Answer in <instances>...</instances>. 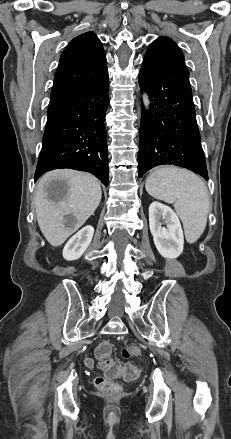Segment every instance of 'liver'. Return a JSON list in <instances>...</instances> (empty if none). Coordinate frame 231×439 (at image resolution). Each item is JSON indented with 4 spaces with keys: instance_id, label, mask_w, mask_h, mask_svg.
Returning a JSON list of instances; mask_svg holds the SVG:
<instances>
[{
    "instance_id": "liver-1",
    "label": "liver",
    "mask_w": 231,
    "mask_h": 439,
    "mask_svg": "<svg viewBox=\"0 0 231 439\" xmlns=\"http://www.w3.org/2000/svg\"><path fill=\"white\" fill-rule=\"evenodd\" d=\"M66 183L61 195L50 191L52 181ZM101 186L96 177L70 169H56L45 173L35 192L36 217L40 230L52 246H60L94 214L101 201ZM75 219L66 225L65 216Z\"/></svg>"
}]
</instances>
